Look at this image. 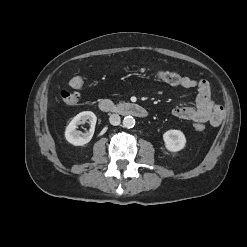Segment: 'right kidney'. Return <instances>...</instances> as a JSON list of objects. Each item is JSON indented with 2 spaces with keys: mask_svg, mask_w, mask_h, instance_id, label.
Instances as JSON below:
<instances>
[{
  "mask_svg": "<svg viewBox=\"0 0 247 247\" xmlns=\"http://www.w3.org/2000/svg\"><path fill=\"white\" fill-rule=\"evenodd\" d=\"M89 121L90 123V130L87 133H82L76 130L77 125L80 122ZM97 117L91 111H84L77 114L68 124L65 129V138L66 140L75 146H84L85 144L89 143L92 139L94 134V129L96 125Z\"/></svg>",
  "mask_w": 247,
  "mask_h": 247,
  "instance_id": "obj_1",
  "label": "right kidney"
}]
</instances>
